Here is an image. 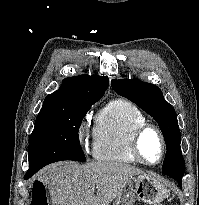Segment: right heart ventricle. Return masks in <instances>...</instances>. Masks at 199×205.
<instances>
[{
    "label": "right heart ventricle",
    "mask_w": 199,
    "mask_h": 205,
    "mask_svg": "<svg viewBox=\"0 0 199 205\" xmlns=\"http://www.w3.org/2000/svg\"><path fill=\"white\" fill-rule=\"evenodd\" d=\"M145 124V115L133 103L125 99L108 102L97 118L95 159L117 164L138 163L130 151V140L133 131Z\"/></svg>",
    "instance_id": "right-heart-ventricle-1"
}]
</instances>
